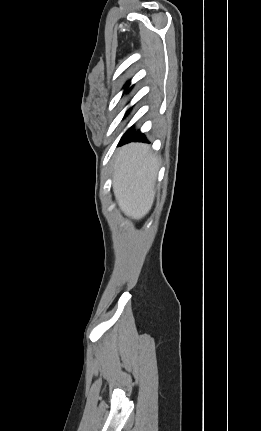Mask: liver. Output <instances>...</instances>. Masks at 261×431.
Returning a JSON list of instances; mask_svg holds the SVG:
<instances>
[{"mask_svg": "<svg viewBox=\"0 0 261 431\" xmlns=\"http://www.w3.org/2000/svg\"><path fill=\"white\" fill-rule=\"evenodd\" d=\"M159 160L149 146L133 143L121 148L114 165L113 190L121 211L134 220L151 209Z\"/></svg>", "mask_w": 261, "mask_h": 431, "instance_id": "liver-1", "label": "liver"}]
</instances>
